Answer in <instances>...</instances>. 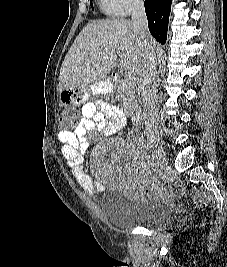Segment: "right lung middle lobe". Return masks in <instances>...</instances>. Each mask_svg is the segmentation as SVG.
Instances as JSON below:
<instances>
[{
    "label": "right lung middle lobe",
    "mask_w": 227,
    "mask_h": 267,
    "mask_svg": "<svg viewBox=\"0 0 227 267\" xmlns=\"http://www.w3.org/2000/svg\"><path fill=\"white\" fill-rule=\"evenodd\" d=\"M90 5H91V7H92V9H93L92 0H90Z\"/></svg>",
    "instance_id": "1"
}]
</instances>
